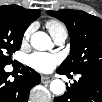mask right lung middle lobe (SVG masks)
<instances>
[{
    "label": "right lung middle lobe",
    "instance_id": "obj_1",
    "mask_svg": "<svg viewBox=\"0 0 102 102\" xmlns=\"http://www.w3.org/2000/svg\"><path fill=\"white\" fill-rule=\"evenodd\" d=\"M29 25L13 15L0 11V66L11 63L12 52L20 49L23 34Z\"/></svg>",
    "mask_w": 102,
    "mask_h": 102
}]
</instances>
